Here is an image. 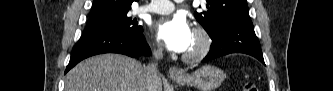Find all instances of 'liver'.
<instances>
[{"label": "liver", "instance_id": "6515ba94", "mask_svg": "<svg viewBox=\"0 0 333 91\" xmlns=\"http://www.w3.org/2000/svg\"><path fill=\"white\" fill-rule=\"evenodd\" d=\"M65 91H149L145 66L119 54L89 58L66 75ZM151 91H162L161 78Z\"/></svg>", "mask_w": 333, "mask_h": 91}]
</instances>
